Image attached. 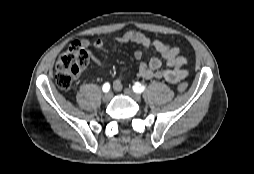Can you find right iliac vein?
<instances>
[{"mask_svg": "<svg viewBox=\"0 0 254 174\" xmlns=\"http://www.w3.org/2000/svg\"><path fill=\"white\" fill-rule=\"evenodd\" d=\"M113 97V94L111 92L109 93H106L104 96H103V101L104 102H109Z\"/></svg>", "mask_w": 254, "mask_h": 174, "instance_id": "63e3f726", "label": "right iliac vein"}]
</instances>
